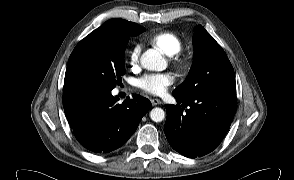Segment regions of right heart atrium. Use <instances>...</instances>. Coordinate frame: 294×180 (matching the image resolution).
<instances>
[{
  "instance_id": "d8ad5b80",
  "label": "right heart atrium",
  "mask_w": 294,
  "mask_h": 180,
  "mask_svg": "<svg viewBox=\"0 0 294 180\" xmlns=\"http://www.w3.org/2000/svg\"><path fill=\"white\" fill-rule=\"evenodd\" d=\"M139 56H140V46L136 44L128 51V62L131 68L134 69L138 67Z\"/></svg>"
}]
</instances>
